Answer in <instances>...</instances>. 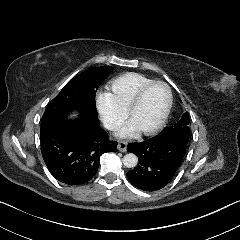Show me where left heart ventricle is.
Masks as SVG:
<instances>
[{"label":"left heart ventricle","instance_id":"1","mask_svg":"<svg viewBox=\"0 0 240 240\" xmlns=\"http://www.w3.org/2000/svg\"><path fill=\"white\" fill-rule=\"evenodd\" d=\"M166 102L164 87L152 86L144 95L141 105L132 114L130 121L139 131L151 128L161 117Z\"/></svg>","mask_w":240,"mask_h":240}]
</instances>
